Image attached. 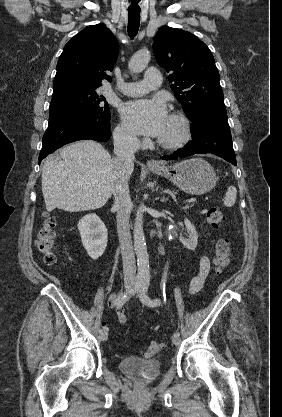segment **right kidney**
<instances>
[{
  "instance_id": "obj_1",
  "label": "right kidney",
  "mask_w": 282,
  "mask_h": 417,
  "mask_svg": "<svg viewBox=\"0 0 282 417\" xmlns=\"http://www.w3.org/2000/svg\"><path fill=\"white\" fill-rule=\"evenodd\" d=\"M78 231L81 235L82 245L89 257L94 261L102 257L108 239L107 229L103 221L95 213H90V215H85L80 219Z\"/></svg>"
}]
</instances>
